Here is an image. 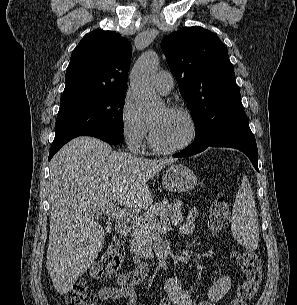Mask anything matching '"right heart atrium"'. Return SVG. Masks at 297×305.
I'll return each mask as SVG.
<instances>
[{
    "mask_svg": "<svg viewBox=\"0 0 297 305\" xmlns=\"http://www.w3.org/2000/svg\"><path fill=\"white\" fill-rule=\"evenodd\" d=\"M119 122L121 134L129 148L133 151L142 150L148 138L149 128L128 92L120 107Z\"/></svg>",
    "mask_w": 297,
    "mask_h": 305,
    "instance_id": "1",
    "label": "right heart atrium"
}]
</instances>
